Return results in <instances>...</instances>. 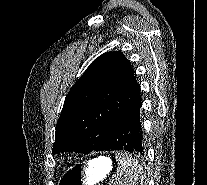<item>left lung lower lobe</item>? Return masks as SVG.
Here are the masks:
<instances>
[{
    "label": "left lung lower lobe",
    "mask_w": 207,
    "mask_h": 185,
    "mask_svg": "<svg viewBox=\"0 0 207 185\" xmlns=\"http://www.w3.org/2000/svg\"><path fill=\"white\" fill-rule=\"evenodd\" d=\"M141 98L128 108L110 130L102 151L123 150L144 155L140 122Z\"/></svg>",
    "instance_id": "1"
}]
</instances>
